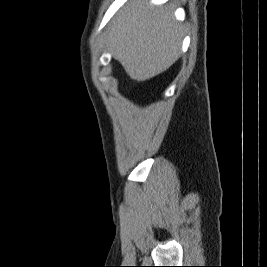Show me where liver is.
Listing matches in <instances>:
<instances>
[{
    "label": "liver",
    "instance_id": "liver-1",
    "mask_svg": "<svg viewBox=\"0 0 267 267\" xmlns=\"http://www.w3.org/2000/svg\"><path fill=\"white\" fill-rule=\"evenodd\" d=\"M183 28L173 9L130 0L115 16L107 47L131 79L149 80L169 69L180 56Z\"/></svg>",
    "mask_w": 267,
    "mask_h": 267
}]
</instances>
